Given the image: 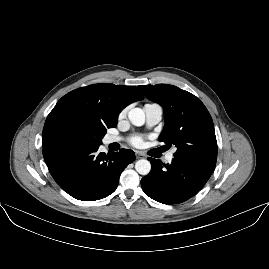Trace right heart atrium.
Returning <instances> with one entry per match:
<instances>
[{
  "mask_svg": "<svg viewBox=\"0 0 269 269\" xmlns=\"http://www.w3.org/2000/svg\"><path fill=\"white\" fill-rule=\"evenodd\" d=\"M127 112H128V108H124V109L120 112L119 116H120V117L125 116V115L127 114Z\"/></svg>",
  "mask_w": 269,
  "mask_h": 269,
  "instance_id": "1",
  "label": "right heart atrium"
}]
</instances>
